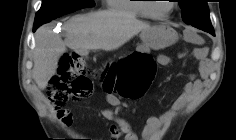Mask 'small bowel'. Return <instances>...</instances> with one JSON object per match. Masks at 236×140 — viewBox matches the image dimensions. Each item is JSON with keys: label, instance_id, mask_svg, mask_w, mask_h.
I'll list each match as a JSON object with an SVG mask.
<instances>
[{"label": "small bowel", "instance_id": "1", "mask_svg": "<svg viewBox=\"0 0 236 140\" xmlns=\"http://www.w3.org/2000/svg\"><path fill=\"white\" fill-rule=\"evenodd\" d=\"M187 36L189 40L195 38V34L190 30L187 31ZM193 56L200 62L201 78L191 76L190 80L184 84L180 95L172 102L166 111L158 116H147L140 137L134 132L131 124L125 118L118 116L114 109L107 108L102 111V116L106 120L113 122L109 129L111 140H118L121 136H123L125 140H155L157 134L162 132L173 121L177 113L183 109L204 86V80L207 77L205 53L202 49H196L193 52ZM157 62L162 66H167L171 63V58L162 54L157 57ZM57 117L66 126H70L73 122L72 113L66 108L57 109Z\"/></svg>", "mask_w": 236, "mask_h": 140}]
</instances>
